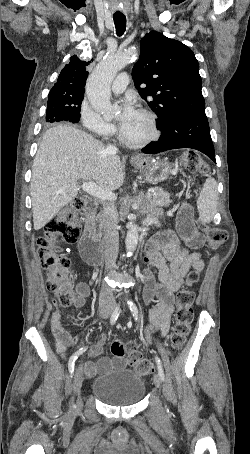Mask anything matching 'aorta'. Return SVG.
<instances>
[{"label":"aorta","mask_w":250,"mask_h":454,"mask_svg":"<svg viewBox=\"0 0 250 454\" xmlns=\"http://www.w3.org/2000/svg\"><path fill=\"white\" fill-rule=\"evenodd\" d=\"M135 57L136 52L133 49L111 53L95 67L88 77L86 84L87 99L90 105L104 117L112 116L117 110V107L111 103L110 86L112 81L116 74ZM138 239L139 228L134 222L130 221L125 238L127 251L136 249Z\"/></svg>","instance_id":"762f6f07"}]
</instances>
